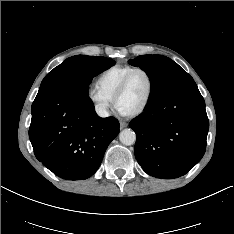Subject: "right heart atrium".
<instances>
[{"label":"right heart atrium","instance_id":"right-heart-atrium-1","mask_svg":"<svg viewBox=\"0 0 234 234\" xmlns=\"http://www.w3.org/2000/svg\"><path fill=\"white\" fill-rule=\"evenodd\" d=\"M86 95L100 114L108 115L112 107V99L106 96L97 85L89 86Z\"/></svg>","mask_w":234,"mask_h":234}]
</instances>
